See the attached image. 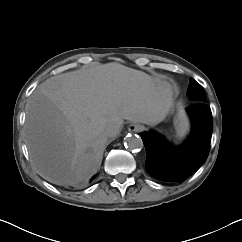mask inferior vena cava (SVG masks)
Returning <instances> with one entry per match:
<instances>
[{"label":"inferior vena cava","mask_w":242,"mask_h":242,"mask_svg":"<svg viewBox=\"0 0 242 242\" xmlns=\"http://www.w3.org/2000/svg\"><path fill=\"white\" fill-rule=\"evenodd\" d=\"M119 134V129L115 125H110L106 129V135L110 138H115Z\"/></svg>","instance_id":"1"}]
</instances>
